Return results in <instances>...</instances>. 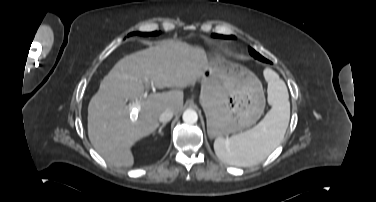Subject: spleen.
<instances>
[{
	"instance_id": "1",
	"label": "spleen",
	"mask_w": 376,
	"mask_h": 202,
	"mask_svg": "<svg viewBox=\"0 0 376 202\" xmlns=\"http://www.w3.org/2000/svg\"><path fill=\"white\" fill-rule=\"evenodd\" d=\"M268 81V103L272 106L264 119L254 128L228 139L216 138L217 157L241 167L257 165L265 160L284 138L290 119V103L285 83L272 69L264 72Z\"/></svg>"
}]
</instances>
